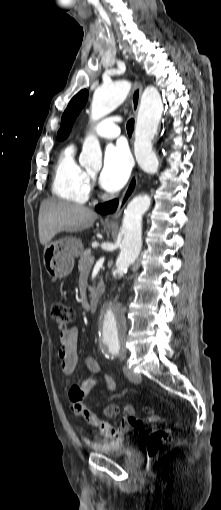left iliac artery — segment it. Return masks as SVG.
<instances>
[{
  "label": "left iliac artery",
  "instance_id": "obj_1",
  "mask_svg": "<svg viewBox=\"0 0 221 510\" xmlns=\"http://www.w3.org/2000/svg\"><path fill=\"white\" fill-rule=\"evenodd\" d=\"M113 353H118V349L114 350Z\"/></svg>",
  "mask_w": 221,
  "mask_h": 510
}]
</instances>
